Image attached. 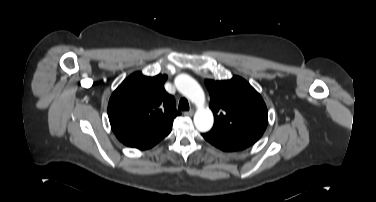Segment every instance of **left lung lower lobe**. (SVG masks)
I'll list each match as a JSON object with an SVG mask.
<instances>
[{"label":"left lung lower lobe","mask_w":376,"mask_h":202,"mask_svg":"<svg viewBox=\"0 0 376 202\" xmlns=\"http://www.w3.org/2000/svg\"><path fill=\"white\" fill-rule=\"evenodd\" d=\"M202 136L209 143L223 151L243 150L255 143L213 128L209 132L202 134Z\"/></svg>","instance_id":"0a47b994"}]
</instances>
